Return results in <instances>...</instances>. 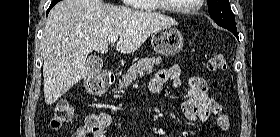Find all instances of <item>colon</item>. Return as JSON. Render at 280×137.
I'll use <instances>...</instances> for the list:
<instances>
[{
  "label": "colon",
  "mask_w": 280,
  "mask_h": 137,
  "mask_svg": "<svg viewBox=\"0 0 280 137\" xmlns=\"http://www.w3.org/2000/svg\"><path fill=\"white\" fill-rule=\"evenodd\" d=\"M208 70L211 73H217L225 70L226 59L223 54L215 53L213 54L207 63ZM73 117V110L71 106L63 99L57 101L54 105L53 115L50 121V127L54 130H59L65 125H67ZM89 124L92 126L96 125V119L92 117L89 120ZM229 125H223L220 127L221 130L226 131Z\"/></svg>",
  "instance_id": "5ec220e1"
}]
</instances>
